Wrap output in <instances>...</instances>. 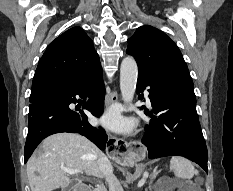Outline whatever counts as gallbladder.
I'll list each match as a JSON object with an SVG mask.
<instances>
[{"label":"gallbladder","instance_id":"1","mask_svg":"<svg viewBox=\"0 0 233 191\" xmlns=\"http://www.w3.org/2000/svg\"><path fill=\"white\" fill-rule=\"evenodd\" d=\"M75 184H76V182L74 180H72L67 187H65V188L62 189V191H71V189L73 188V186Z\"/></svg>","mask_w":233,"mask_h":191}]
</instances>
